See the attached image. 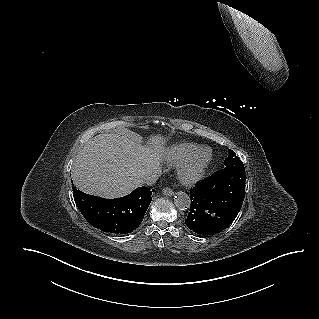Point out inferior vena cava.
I'll return each mask as SVG.
<instances>
[{"instance_id": "obj_1", "label": "inferior vena cava", "mask_w": 319, "mask_h": 319, "mask_svg": "<svg viewBox=\"0 0 319 319\" xmlns=\"http://www.w3.org/2000/svg\"><path fill=\"white\" fill-rule=\"evenodd\" d=\"M159 178V172L158 171H151L146 174H144L141 178V183L142 184H147V185H153L157 179Z\"/></svg>"}]
</instances>
